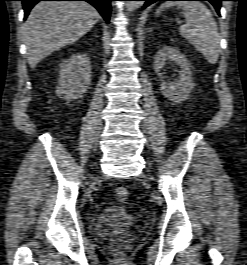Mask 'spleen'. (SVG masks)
I'll list each match as a JSON object with an SVG mask.
<instances>
[{"label": "spleen", "mask_w": 247, "mask_h": 265, "mask_svg": "<svg viewBox=\"0 0 247 265\" xmlns=\"http://www.w3.org/2000/svg\"><path fill=\"white\" fill-rule=\"evenodd\" d=\"M173 6L182 8L181 14L186 20V24L179 28L181 36L201 52L210 64H216L219 57L220 36L210 10L199 1H167L157 9V14Z\"/></svg>", "instance_id": "1"}]
</instances>
